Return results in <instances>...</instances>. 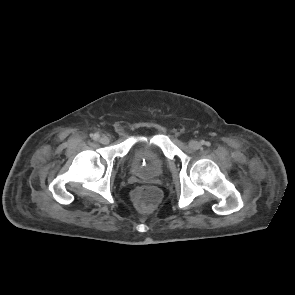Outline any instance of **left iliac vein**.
I'll return each mask as SVG.
<instances>
[{"mask_svg": "<svg viewBox=\"0 0 295 295\" xmlns=\"http://www.w3.org/2000/svg\"><path fill=\"white\" fill-rule=\"evenodd\" d=\"M200 146H201V144H200L198 141H196V140H191V141L189 142V147H190L191 149H193V150H197V149H199Z\"/></svg>", "mask_w": 295, "mask_h": 295, "instance_id": "left-iliac-vein-1", "label": "left iliac vein"}]
</instances>
